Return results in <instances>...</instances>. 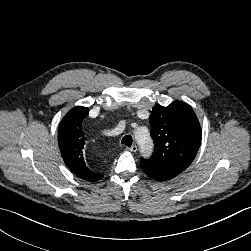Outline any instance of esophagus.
Segmentation results:
<instances>
[{
  "label": "esophagus",
  "instance_id": "obj_1",
  "mask_svg": "<svg viewBox=\"0 0 251 251\" xmlns=\"http://www.w3.org/2000/svg\"><path fill=\"white\" fill-rule=\"evenodd\" d=\"M128 150L131 152H136L138 150V147L136 145H133L130 148H128Z\"/></svg>",
  "mask_w": 251,
  "mask_h": 251
}]
</instances>
